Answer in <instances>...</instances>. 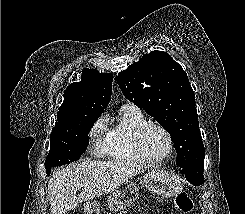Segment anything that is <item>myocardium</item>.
I'll list each match as a JSON object with an SVG mask.
<instances>
[{
	"instance_id": "f54148a6",
	"label": "myocardium",
	"mask_w": 245,
	"mask_h": 214,
	"mask_svg": "<svg viewBox=\"0 0 245 214\" xmlns=\"http://www.w3.org/2000/svg\"><path fill=\"white\" fill-rule=\"evenodd\" d=\"M150 128L159 129L160 131H162L164 133V135L167 137V140H168V150H167L166 154L159 159H154V160L149 159L143 150V145H142L143 136L146 133V131ZM132 141H133L134 151H135L136 155L138 156V158L143 163H145L146 165H149V166H157V165L164 163L165 161H167L172 156L173 151H174V139H173L171 133L169 132V130L166 127H164L163 125H161L159 123H155V122H146V123L140 125L138 128H136V130L133 133Z\"/></svg>"
}]
</instances>
